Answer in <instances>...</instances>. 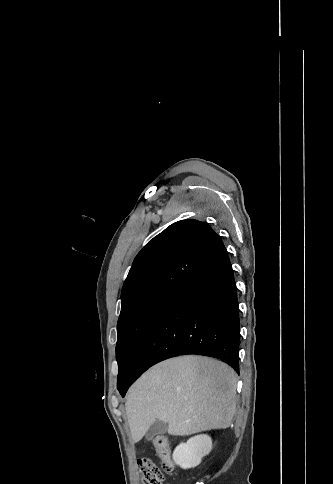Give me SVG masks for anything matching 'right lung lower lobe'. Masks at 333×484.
I'll list each match as a JSON object with an SVG mask.
<instances>
[{
  "label": "right lung lower lobe",
  "mask_w": 333,
  "mask_h": 484,
  "mask_svg": "<svg viewBox=\"0 0 333 484\" xmlns=\"http://www.w3.org/2000/svg\"><path fill=\"white\" fill-rule=\"evenodd\" d=\"M239 307L228 255L192 278L167 299L139 343L130 385L150 366L180 354L224 360L239 373Z\"/></svg>",
  "instance_id": "1"
}]
</instances>
